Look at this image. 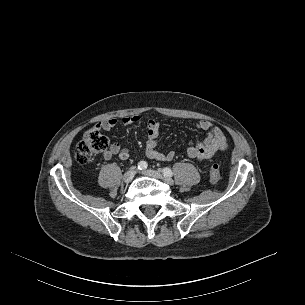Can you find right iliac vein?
Returning <instances> with one entry per match:
<instances>
[{
  "label": "right iliac vein",
  "mask_w": 305,
  "mask_h": 305,
  "mask_svg": "<svg viewBox=\"0 0 305 305\" xmlns=\"http://www.w3.org/2000/svg\"><path fill=\"white\" fill-rule=\"evenodd\" d=\"M136 174V168H132L130 170H128L127 172H125V174L123 175V181L125 183H129L133 180L134 176Z\"/></svg>",
  "instance_id": "obj_1"
}]
</instances>
